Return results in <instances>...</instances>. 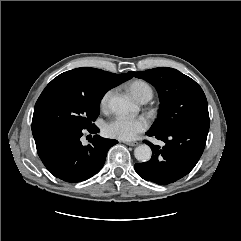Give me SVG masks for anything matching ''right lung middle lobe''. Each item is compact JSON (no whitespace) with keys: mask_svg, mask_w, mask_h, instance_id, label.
I'll use <instances>...</instances> for the list:
<instances>
[{"mask_svg":"<svg viewBox=\"0 0 241 241\" xmlns=\"http://www.w3.org/2000/svg\"><path fill=\"white\" fill-rule=\"evenodd\" d=\"M103 95L83 94L65 87L45 88L35 104L32 130L58 125L90 130L99 115Z\"/></svg>","mask_w":241,"mask_h":241,"instance_id":"dd1d6c3e","label":"right lung middle lobe"}]
</instances>
